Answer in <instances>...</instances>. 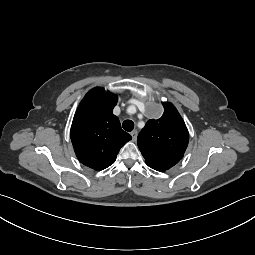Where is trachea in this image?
<instances>
[{
	"mask_svg": "<svg viewBox=\"0 0 255 255\" xmlns=\"http://www.w3.org/2000/svg\"><path fill=\"white\" fill-rule=\"evenodd\" d=\"M124 130L130 132L134 128V122L132 120H125L122 124Z\"/></svg>",
	"mask_w": 255,
	"mask_h": 255,
	"instance_id": "3493384b",
	"label": "trachea"
}]
</instances>
